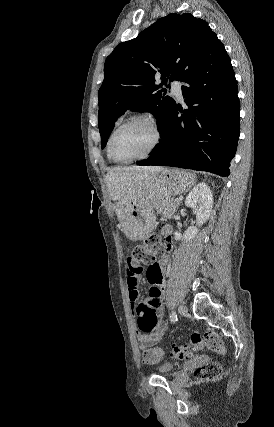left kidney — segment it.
<instances>
[{"instance_id": "obj_1", "label": "left kidney", "mask_w": 274, "mask_h": 427, "mask_svg": "<svg viewBox=\"0 0 274 427\" xmlns=\"http://www.w3.org/2000/svg\"><path fill=\"white\" fill-rule=\"evenodd\" d=\"M185 206H187V208H193L196 214V225H190V227H187L185 233L174 231V237L175 239L192 241L197 231H199V225H203V223L209 219L210 212H212L213 194L209 186L204 184V182H202V184H197V186L193 188L192 192L188 194Z\"/></svg>"}]
</instances>
